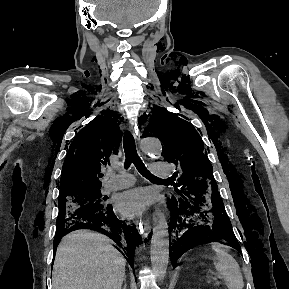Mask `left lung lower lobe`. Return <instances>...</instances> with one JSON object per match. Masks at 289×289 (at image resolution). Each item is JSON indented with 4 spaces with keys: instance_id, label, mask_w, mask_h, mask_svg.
Listing matches in <instances>:
<instances>
[{
    "instance_id": "1",
    "label": "left lung lower lobe",
    "mask_w": 289,
    "mask_h": 289,
    "mask_svg": "<svg viewBox=\"0 0 289 289\" xmlns=\"http://www.w3.org/2000/svg\"><path fill=\"white\" fill-rule=\"evenodd\" d=\"M172 218L169 226V252L173 263L193 247L194 239L213 236L225 239L239 252V244L219 194L202 189L169 200Z\"/></svg>"
}]
</instances>
